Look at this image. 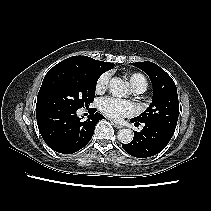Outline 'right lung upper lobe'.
<instances>
[{
    "label": "right lung upper lobe",
    "instance_id": "right-lung-upper-lobe-1",
    "mask_svg": "<svg viewBox=\"0 0 211 211\" xmlns=\"http://www.w3.org/2000/svg\"><path fill=\"white\" fill-rule=\"evenodd\" d=\"M59 64L75 66L86 69L90 72L100 73V74L114 67L113 63L94 60L93 58L87 56L69 57L61 61Z\"/></svg>",
    "mask_w": 211,
    "mask_h": 211
}]
</instances>
